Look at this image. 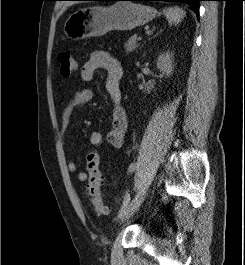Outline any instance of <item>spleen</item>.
I'll return each instance as SVG.
<instances>
[{
    "label": "spleen",
    "instance_id": "obj_1",
    "mask_svg": "<svg viewBox=\"0 0 245 265\" xmlns=\"http://www.w3.org/2000/svg\"><path fill=\"white\" fill-rule=\"evenodd\" d=\"M170 24H178L185 17V12L179 7L167 8L163 10Z\"/></svg>",
    "mask_w": 245,
    "mask_h": 265
}]
</instances>
